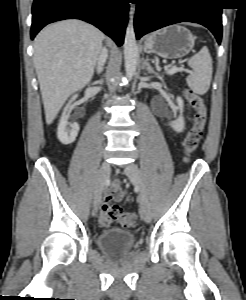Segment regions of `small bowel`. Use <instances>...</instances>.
<instances>
[{
  "label": "small bowel",
  "instance_id": "obj_1",
  "mask_svg": "<svg viewBox=\"0 0 246 300\" xmlns=\"http://www.w3.org/2000/svg\"><path fill=\"white\" fill-rule=\"evenodd\" d=\"M124 198L123 190L118 186L114 185L110 192L106 195L105 199L108 200H116L121 201ZM98 221L102 226H108L111 224V220L105 216L103 212H101L98 216Z\"/></svg>",
  "mask_w": 246,
  "mask_h": 300
}]
</instances>
